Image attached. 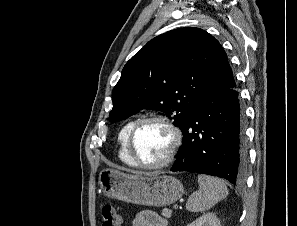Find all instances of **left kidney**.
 <instances>
[{
	"label": "left kidney",
	"instance_id": "obj_1",
	"mask_svg": "<svg viewBox=\"0 0 297 226\" xmlns=\"http://www.w3.org/2000/svg\"><path fill=\"white\" fill-rule=\"evenodd\" d=\"M187 226H221V224L215 213H206Z\"/></svg>",
	"mask_w": 297,
	"mask_h": 226
}]
</instances>
